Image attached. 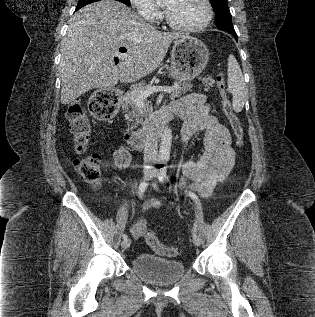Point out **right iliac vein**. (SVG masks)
Segmentation results:
<instances>
[{
    "label": "right iliac vein",
    "instance_id": "1",
    "mask_svg": "<svg viewBox=\"0 0 315 317\" xmlns=\"http://www.w3.org/2000/svg\"><path fill=\"white\" fill-rule=\"evenodd\" d=\"M149 177H151V173L150 172H146L145 173V178H149ZM130 244H131V240L128 239V238L124 239L122 241V243H121L123 249H127L130 246Z\"/></svg>",
    "mask_w": 315,
    "mask_h": 317
}]
</instances>
